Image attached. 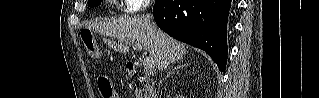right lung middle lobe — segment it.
I'll use <instances>...</instances> for the list:
<instances>
[{
	"label": "right lung middle lobe",
	"instance_id": "obj_1",
	"mask_svg": "<svg viewBox=\"0 0 319 98\" xmlns=\"http://www.w3.org/2000/svg\"><path fill=\"white\" fill-rule=\"evenodd\" d=\"M101 4V0H89L88 6L89 7H96Z\"/></svg>",
	"mask_w": 319,
	"mask_h": 98
}]
</instances>
